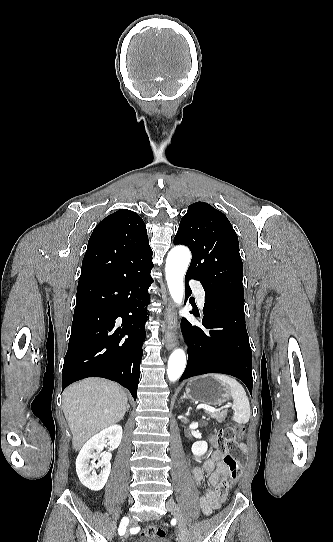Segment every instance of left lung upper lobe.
Returning a JSON list of instances; mask_svg holds the SVG:
<instances>
[{
    "label": "left lung upper lobe",
    "mask_w": 333,
    "mask_h": 542,
    "mask_svg": "<svg viewBox=\"0 0 333 542\" xmlns=\"http://www.w3.org/2000/svg\"><path fill=\"white\" fill-rule=\"evenodd\" d=\"M174 244H184L191 250L186 275L199 280L206 295L244 301L238 237L223 213L205 202L191 204L181 219Z\"/></svg>",
    "instance_id": "5c2ea615"
}]
</instances>
